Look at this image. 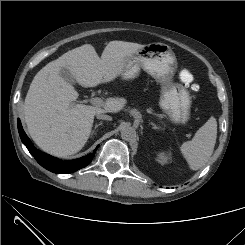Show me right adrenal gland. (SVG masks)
Here are the masks:
<instances>
[{
	"instance_id": "1",
	"label": "right adrenal gland",
	"mask_w": 245,
	"mask_h": 245,
	"mask_svg": "<svg viewBox=\"0 0 245 245\" xmlns=\"http://www.w3.org/2000/svg\"><path fill=\"white\" fill-rule=\"evenodd\" d=\"M101 125H102V122H100V123H98V124H95L94 130H93L92 133H91V137L93 136V134H95L96 129H97L99 126H101Z\"/></svg>"
}]
</instances>
